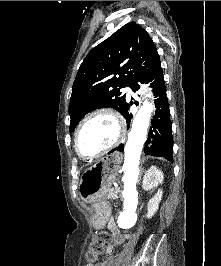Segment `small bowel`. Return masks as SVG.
<instances>
[{
    "mask_svg": "<svg viewBox=\"0 0 221 266\" xmlns=\"http://www.w3.org/2000/svg\"><path fill=\"white\" fill-rule=\"evenodd\" d=\"M129 239V235L128 234H122L120 232H115L114 234V240L116 243H122L125 240ZM107 252H111L112 251V246H108L106 249ZM114 263V257L113 256H109L105 261L97 264L96 266H113ZM86 266H92V265H86Z\"/></svg>",
    "mask_w": 221,
    "mask_h": 266,
    "instance_id": "obj_1",
    "label": "small bowel"
}]
</instances>
